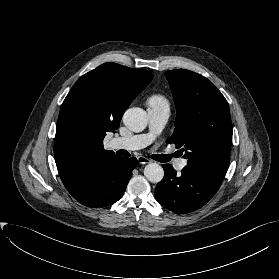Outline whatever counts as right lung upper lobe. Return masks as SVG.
Returning a JSON list of instances; mask_svg holds the SVG:
<instances>
[{"instance_id":"cb5924a9","label":"right lung upper lobe","mask_w":279,"mask_h":279,"mask_svg":"<svg viewBox=\"0 0 279 279\" xmlns=\"http://www.w3.org/2000/svg\"><path fill=\"white\" fill-rule=\"evenodd\" d=\"M151 72L105 63L80 77L59 113L54 157L63 183L78 172L118 157L103 139L119 127L125 110L151 82Z\"/></svg>"}]
</instances>
